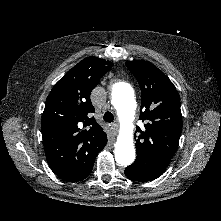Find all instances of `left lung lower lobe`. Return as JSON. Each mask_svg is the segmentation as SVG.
Here are the masks:
<instances>
[{"label": "left lung lower lobe", "mask_w": 221, "mask_h": 221, "mask_svg": "<svg viewBox=\"0 0 221 221\" xmlns=\"http://www.w3.org/2000/svg\"><path fill=\"white\" fill-rule=\"evenodd\" d=\"M165 170H152V171H146V170H140L133 168L131 166H128L125 168V175L134 181L138 182H146L151 181L159 176H161L164 173Z\"/></svg>", "instance_id": "1"}]
</instances>
